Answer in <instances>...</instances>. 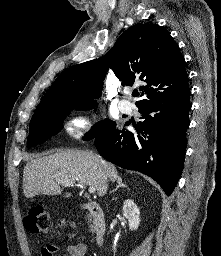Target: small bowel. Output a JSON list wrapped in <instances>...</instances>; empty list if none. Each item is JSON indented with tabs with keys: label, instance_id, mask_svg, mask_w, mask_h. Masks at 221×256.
I'll return each mask as SVG.
<instances>
[{
	"label": "small bowel",
	"instance_id": "1",
	"mask_svg": "<svg viewBox=\"0 0 221 256\" xmlns=\"http://www.w3.org/2000/svg\"><path fill=\"white\" fill-rule=\"evenodd\" d=\"M57 248L54 245L45 246L42 251V256H54ZM66 251L70 256H85L87 252L86 245L83 243L69 244L66 247Z\"/></svg>",
	"mask_w": 221,
	"mask_h": 256
}]
</instances>
